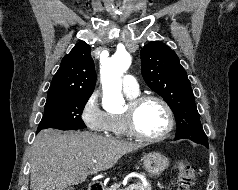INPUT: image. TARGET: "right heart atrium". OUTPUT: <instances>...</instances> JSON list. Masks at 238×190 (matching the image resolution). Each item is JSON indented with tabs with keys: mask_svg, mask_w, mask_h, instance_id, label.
Wrapping results in <instances>:
<instances>
[{
	"mask_svg": "<svg viewBox=\"0 0 238 190\" xmlns=\"http://www.w3.org/2000/svg\"><path fill=\"white\" fill-rule=\"evenodd\" d=\"M100 92L93 91L81 109V119L85 126L96 133H106L109 131V114L100 106Z\"/></svg>",
	"mask_w": 238,
	"mask_h": 190,
	"instance_id": "obj_1",
	"label": "right heart atrium"
}]
</instances>
